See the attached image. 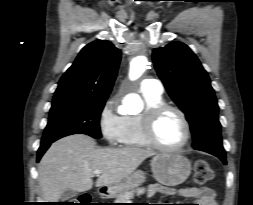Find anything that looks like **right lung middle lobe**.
<instances>
[{
  "instance_id": "1",
  "label": "right lung middle lobe",
  "mask_w": 253,
  "mask_h": 205,
  "mask_svg": "<svg viewBox=\"0 0 253 205\" xmlns=\"http://www.w3.org/2000/svg\"><path fill=\"white\" fill-rule=\"evenodd\" d=\"M107 98L53 101L41 143L54 142L72 134L101 138L99 119Z\"/></svg>"
}]
</instances>
